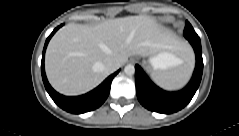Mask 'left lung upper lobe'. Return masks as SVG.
Wrapping results in <instances>:
<instances>
[{
	"mask_svg": "<svg viewBox=\"0 0 239 136\" xmlns=\"http://www.w3.org/2000/svg\"><path fill=\"white\" fill-rule=\"evenodd\" d=\"M184 36L186 39H190V38H198L199 36L196 34V32L194 31L193 27L191 26V24L186 21V25H185V29H184Z\"/></svg>",
	"mask_w": 239,
	"mask_h": 136,
	"instance_id": "obj_1",
	"label": "left lung upper lobe"
}]
</instances>
